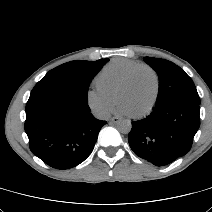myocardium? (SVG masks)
Masks as SVG:
<instances>
[{
  "label": "myocardium",
  "instance_id": "myocardium-1",
  "mask_svg": "<svg viewBox=\"0 0 212 212\" xmlns=\"http://www.w3.org/2000/svg\"><path fill=\"white\" fill-rule=\"evenodd\" d=\"M142 70H146L148 72L151 73V75L153 76L154 79V83H155V90H154V95L152 98V101L150 102V104L148 105L147 108H145L143 111L138 112V113H133L131 114V116L133 118H142L146 115H148L156 106L159 95H160V78L158 73L150 66L148 65H139L138 67L134 68L129 75L127 76V78L125 79V81L122 83L121 87L118 90L117 93V99L118 101H120V97L122 95V93L131 85V83L133 82V79L135 77V75L142 71Z\"/></svg>",
  "mask_w": 212,
  "mask_h": 212
}]
</instances>
